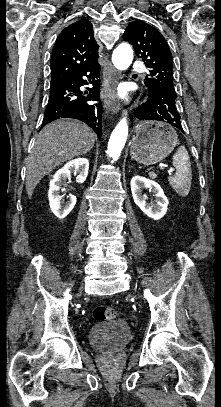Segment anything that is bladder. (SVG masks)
Instances as JSON below:
<instances>
[{
	"label": "bladder",
	"instance_id": "31cf9c89",
	"mask_svg": "<svg viewBox=\"0 0 221 407\" xmlns=\"http://www.w3.org/2000/svg\"><path fill=\"white\" fill-rule=\"evenodd\" d=\"M132 339L130 325L124 319L112 320L109 323H97L88 331V341L99 351L122 350Z\"/></svg>",
	"mask_w": 221,
	"mask_h": 407
}]
</instances>
